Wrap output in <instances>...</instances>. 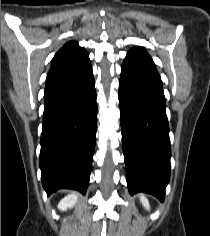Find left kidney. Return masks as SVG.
Wrapping results in <instances>:
<instances>
[{"mask_svg":"<svg viewBox=\"0 0 210 236\" xmlns=\"http://www.w3.org/2000/svg\"><path fill=\"white\" fill-rule=\"evenodd\" d=\"M140 201L146 209H149V202L146 199V197H144L143 195H140Z\"/></svg>","mask_w":210,"mask_h":236,"instance_id":"5707ae66","label":"left kidney"}]
</instances>
